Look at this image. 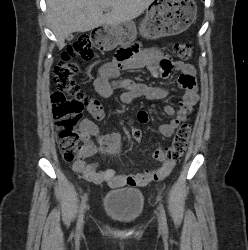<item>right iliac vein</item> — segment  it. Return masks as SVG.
<instances>
[{
  "label": "right iliac vein",
  "instance_id": "63e3f726",
  "mask_svg": "<svg viewBox=\"0 0 248 250\" xmlns=\"http://www.w3.org/2000/svg\"><path fill=\"white\" fill-rule=\"evenodd\" d=\"M82 226H83V219H82L81 226H80V228L78 229V230H79V232L82 230Z\"/></svg>",
  "mask_w": 248,
  "mask_h": 250
}]
</instances>
